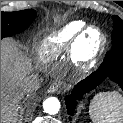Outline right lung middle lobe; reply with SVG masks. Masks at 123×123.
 Instances as JSON below:
<instances>
[{
  "mask_svg": "<svg viewBox=\"0 0 123 123\" xmlns=\"http://www.w3.org/2000/svg\"><path fill=\"white\" fill-rule=\"evenodd\" d=\"M33 9L16 12H1V39L24 31L35 19Z\"/></svg>",
  "mask_w": 123,
  "mask_h": 123,
  "instance_id": "right-lung-middle-lobe-1",
  "label": "right lung middle lobe"
}]
</instances>
